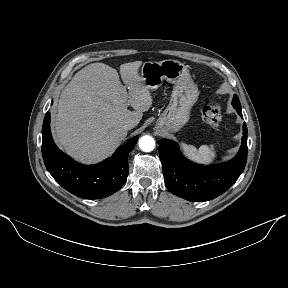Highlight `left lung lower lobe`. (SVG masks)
Returning a JSON list of instances; mask_svg holds the SVG:
<instances>
[{
  "mask_svg": "<svg viewBox=\"0 0 288 288\" xmlns=\"http://www.w3.org/2000/svg\"><path fill=\"white\" fill-rule=\"evenodd\" d=\"M242 116V109L234 107ZM165 184L170 192L193 202L214 199L228 190L243 172L247 161V126L243 124V137L238 154L218 165L202 166L187 161L176 142L158 141Z\"/></svg>",
  "mask_w": 288,
  "mask_h": 288,
  "instance_id": "0a47b994",
  "label": "left lung lower lobe"
}]
</instances>
